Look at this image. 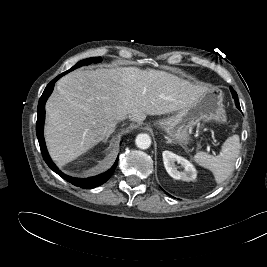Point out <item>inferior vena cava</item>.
<instances>
[{
	"instance_id": "obj_1",
	"label": "inferior vena cava",
	"mask_w": 267,
	"mask_h": 267,
	"mask_svg": "<svg viewBox=\"0 0 267 267\" xmlns=\"http://www.w3.org/2000/svg\"><path fill=\"white\" fill-rule=\"evenodd\" d=\"M125 118H126V117H124V116H119V117H118L119 120H123V119H125Z\"/></svg>"
}]
</instances>
